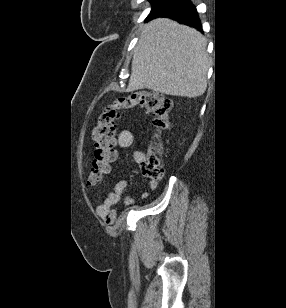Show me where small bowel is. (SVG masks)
Returning <instances> with one entry per match:
<instances>
[{"label":"small bowel","instance_id":"1","mask_svg":"<svg viewBox=\"0 0 286 308\" xmlns=\"http://www.w3.org/2000/svg\"><path fill=\"white\" fill-rule=\"evenodd\" d=\"M136 138V133L131 130H124L119 134L118 137V147L121 149L129 148ZM135 160L140 163L144 159V153L141 150H135L134 152ZM127 182L125 180H120L116 182L109 192V194L101 201L98 206V213L104 218L108 223L113 222L116 217V212L113 209V206L117 204L123 196ZM156 183L151 182L150 188L154 190L156 188ZM148 193H143L142 197H147ZM126 205H132L134 199L131 196H127L124 199Z\"/></svg>","mask_w":286,"mask_h":308}]
</instances>
